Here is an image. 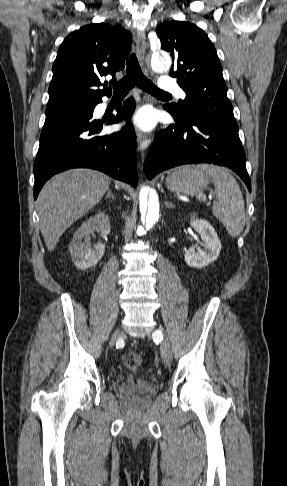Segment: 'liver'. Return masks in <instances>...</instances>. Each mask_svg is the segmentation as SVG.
Masks as SVG:
<instances>
[{
  "label": "liver",
  "instance_id": "obj_1",
  "mask_svg": "<svg viewBox=\"0 0 287 486\" xmlns=\"http://www.w3.org/2000/svg\"><path fill=\"white\" fill-rule=\"evenodd\" d=\"M110 178L91 169H71L55 175L39 193L40 230L47 249L53 251L65 230L104 196Z\"/></svg>",
  "mask_w": 287,
  "mask_h": 486
}]
</instances>
